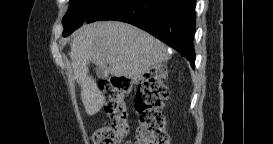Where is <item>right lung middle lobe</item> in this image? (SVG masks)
<instances>
[{
  "label": "right lung middle lobe",
  "mask_w": 273,
  "mask_h": 144,
  "mask_svg": "<svg viewBox=\"0 0 273 144\" xmlns=\"http://www.w3.org/2000/svg\"><path fill=\"white\" fill-rule=\"evenodd\" d=\"M110 0H70L69 9L63 17V36L70 35L82 25L84 19H89L104 4Z\"/></svg>",
  "instance_id": "right-lung-middle-lobe-1"
}]
</instances>
